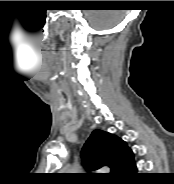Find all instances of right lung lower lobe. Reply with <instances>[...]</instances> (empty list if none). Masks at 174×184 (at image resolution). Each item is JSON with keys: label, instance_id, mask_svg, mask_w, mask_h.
Returning <instances> with one entry per match:
<instances>
[{"label": "right lung lower lobe", "instance_id": "1", "mask_svg": "<svg viewBox=\"0 0 174 184\" xmlns=\"http://www.w3.org/2000/svg\"><path fill=\"white\" fill-rule=\"evenodd\" d=\"M137 174V168L134 160H130L125 167L121 170L118 176L120 177H127V176H134Z\"/></svg>", "mask_w": 174, "mask_h": 184}]
</instances>
